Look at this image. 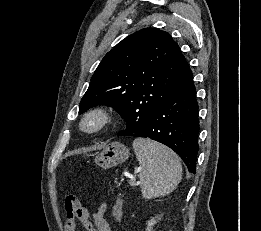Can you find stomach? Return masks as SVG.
I'll return each instance as SVG.
<instances>
[{"label":"stomach","instance_id":"0dacf381","mask_svg":"<svg viewBox=\"0 0 261 231\" xmlns=\"http://www.w3.org/2000/svg\"><path fill=\"white\" fill-rule=\"evenodd\" d=\"M129 157V149L120 142L108 144L96 154L95 163L103 169L112 168L125 162Z\"/></svg>","mask_w":261,"mask_h":231}]
</instances>
